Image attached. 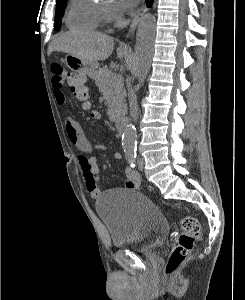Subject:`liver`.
<instances>
[{"label": "liver", "mask_w": 245, "mask_h": 300, "mask_svg": "<svg viewBox=\"0 0 245 300\" xmlns=\"http://www.w3.org/2000/svg\"><path fill=\"white\" fill-rule=\"evenodd\" d=\"M114 46V39L97 32H67L57 37L48 48V55L53 51L65 52L82 60L98 62L107 59Z\"/></svg>", "instance_id": "obj_1"}]
</instances>
